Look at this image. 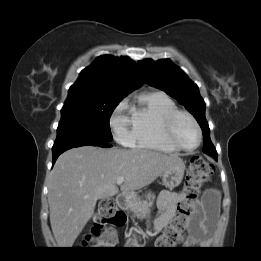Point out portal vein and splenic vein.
Listing matches in <instances>:
<instances>
[{"instance_id":"portal-vein-and-splenic-vein-1","label":"portal vein and splenic vein","mask_w":261,"mask_h":261,"mask_svg":"<svg viewBox=\"0 0 261 261\" xmlns=\"http://www.w3.org/2000/svg\"><path fill=\"white\" fill-rule=\"evenodd\" d=\"M123 182H124V177H118L117 181H116V184L117 185H121Z\"/></svg>"}]
</instances>
